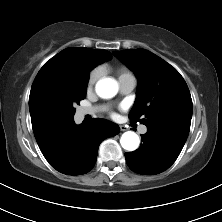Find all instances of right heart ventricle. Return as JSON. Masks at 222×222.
<instances>
[{"label":"right heart ventricle","mask_w":222,"mask_h":222,"mask_svg":"<svg viewBox=\"0 0 222 222\" xmlns=\"http://www.w3.org/2000/svg\"><path fill=\"white\" fill-rule=\"evenodd\" d=\"M133 75L125 68L121 67L117 69L118 80L126 77H132Z\"/></svg>","instance_id":"right-heart-ventricle-1"}]
</instances>
